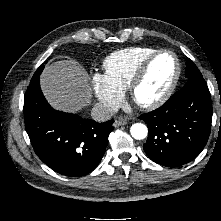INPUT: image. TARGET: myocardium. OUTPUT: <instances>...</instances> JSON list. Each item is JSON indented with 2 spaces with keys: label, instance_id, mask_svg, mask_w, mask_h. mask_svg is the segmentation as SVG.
I'll return each mask as SVG.
<instances>
[{
  "label": "myocardium",
  "instance_id": "1",
  "mask_svg": "<svg viewBox=\"0 0 221 221\" xmlns=\"http://www.w3.org/2000/svg\"><path fill=\"white\" fill-rule=\"evenodd\" d=\"M165 53L170 54L175 61V74L173 76L172 81L170 82L168 87L165 89V91L162 94H160L157 98L150 100V101H138L136 99V92L139 86L144 81L151 64L158 56H160L161 54H165ZM180 76H181V64H180V60L178 56L172 50H169V49L156 50L155 52L150 54L137 69L127 89L128 95L130 99L140 108L155 109L163 105L172 96L173 92L175 91L177 87Z\"/></svg>",
  "mask_w": 221,
  "mask_h": 221
}]
</instances>
